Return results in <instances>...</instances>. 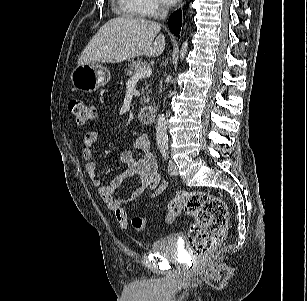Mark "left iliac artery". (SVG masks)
I'll return each mask as SVG.
<instances>
[{"instance_id": "44dca946", "label": "left iliac artery", "mask_w": 307, "mask_h": 301, "mask_svg": "<svg viewBox=\"0 0 307 301\" xmlns=\"http://www.w3.org/2000/svg\"><path fill=\"white\" fill-rule=\"evenodd\" d=\"M161 152H162L164 158L166 159V157L168 156V155H167V148H162V149H161Z\"/></svg>"}]
</instances>
